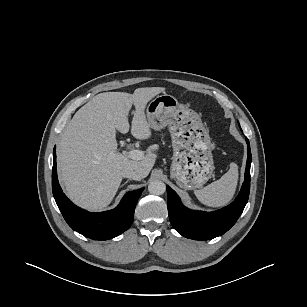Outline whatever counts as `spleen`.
<instances>
[{
	"label": "spleen",
	"mask_w": 307,
	"mask_h": 307,
	"mask_svg": "<svg viewBox=\"0 0 307 307\" xmlns=\"http://www.w3.org/2000/svg\"><path fill=\"white\" fill-rule=\"evenodd\" d=\"M238 183V166L231 163L229 170L217 181L200 190H195L197 199L209 207H223L227 205L234 196Z\"/></svg>",
	"instance_id": "3e777b00"
}]
</instances>
